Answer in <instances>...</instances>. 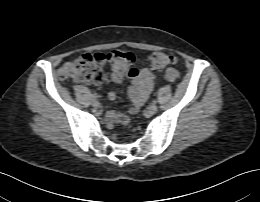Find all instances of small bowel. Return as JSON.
Segmentation results:
<instances>
[{
    "label": "small bowel",
    "instance_id": "c3829d8e",
    "mask_svg": "<svg viewBox=\"0 0 260 202\" xmlns=\"http://www.w3.org/2000/svg\"><path fill=\"white\" fill-rule=\"evenodd\" d=\"M127 76L131 80L128 93L132 101V107L128 110V112L130 114H135L149 97L153 89L154 81L156 80V74L146 68L141 70L131 68L127 71ZM111 79L115 83H121L123 79V73L114 68ZM108 97L110 100H115V92H109ZM105 118L108 128H112L114 124H124L128 120L125 114L115 111H108L105 115Z\"/></svg>",
    "mask_w": 260,
    "mask_h": 202
}]
</instances>
